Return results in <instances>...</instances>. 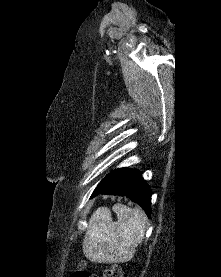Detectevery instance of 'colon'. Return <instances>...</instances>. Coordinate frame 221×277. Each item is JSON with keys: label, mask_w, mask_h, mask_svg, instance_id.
Segmentation results:
<instances>
[{"label": "colon", "mask_w": 221, "mask_h": 277, "mask_svg": "<svg viewBox=\"0 0 221 277\" xmlns=\"http://www.w3.org/2000/svg\"><path fill=\"white\" fill-rule=\"evenodd\" d=\"M122 276H123L122 268L116 264L110 265L101 275V277H122ZM71 277H98V276H96L91 271H89L86 268L85 263H81L79 267H77L73 271V273L71 274Z\"/></svg>", "instance_id": "5ec220e1"}]
</instances>
